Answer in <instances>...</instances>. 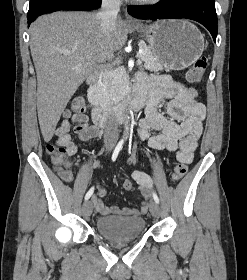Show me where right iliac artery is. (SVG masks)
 I'll return each mask as SVG.
<instances>
[{
  "mask_svg": "<svg viewBox=\"0 0 247 280\" xmlns=\"http://www.w3.org/2000/svg\"><path fill=\"white\" fill-rule=\"evenodd\" d=\"M123 144H124V139L120 140L119 143L117 144V146L112 154V161L116 160L120 150L123 147ZM93 192H94V187H91L90 190L85 195V200H88L92 196Z\"/></svg>",
  "mask_w": 247,
  "mask_h": 280,
  "instance_id": "1",
  "label": "right iliac artery"
}]
</instances>
